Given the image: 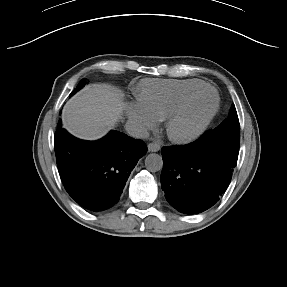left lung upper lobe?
<instances>
[{"instance_id":"1","label":"left lung upper lobe","mask_w":287,"mask_h":287,"mask_svg":"<svg viewBox=\"0 0 287 287\" xmlns=\"http://www.w3.org/2000/svg\"><path fill=\"white\" fill-rule=\"evenodd\" d=\"M213 134L229 142L240 143V124L234 105L231 106L229 117L213 130Z\"/></svg>"}]
</instances>
